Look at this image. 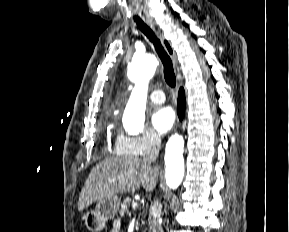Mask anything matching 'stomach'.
Here are the masks:
<instances>
[{
	"label": "stomach",
	"mask_w": 289,
	"mask_h": 232,
	"mask_svg": "<svg viewBox=\"0 0 289 232\" xmlns=\"http://www.w3.org/2000/svg\"><path fill=\"white\" fill-rule=\"evenodd\" d=\"M120 205V198L115 196L101 199L94 209L83 215L86 228L91 232H100L108 220L114 219Z\"/></svg>",
	"instance_id": "obj_1"
}]
</instances>
